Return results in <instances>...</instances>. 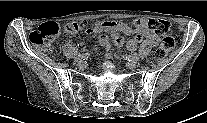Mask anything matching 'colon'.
Returning <instances> with one entry per match:
<instances>
[{
	"mask_svg": "<svg viewBox=\"0 0 207 123\" xmlns=\"http://www.w3.org/2000/svg\"><path fill=\"white\" fill-rule=\"evenodd\" d=\"M136 28H145L163 37L161 46L155 52V58L161 60L166 57L169 50L176 44V38L171 31L170 24L161 19L138 18L133 21ZM62 28L58 23L50 22L39 26L30 33V42L36 46L51 50L53 41L60 34ZM89 31L87 22H70L63 27L64 33L69 37H76L82 31Z\"/></svg>",
	"mask_w": 207,
	"mask_h": 123,
	"instance_id": "obj_1",
	"label": "colon"
}]
</instances>
